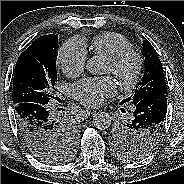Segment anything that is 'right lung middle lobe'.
<instances>
[{
    "instance_id": "right-lung-middle-lobe-1",
    "label": "right lung middle lobe",
    "mask_w": 184,
    "mask_h": 184,
    "mask_svg": "<svg viewBox=\"0 0 184 184\" xmlns=\"http://www.w3.org/2000/svg\"><path fill=\"white\" fill-rule=\"evenodd\" d=\"M57 35L49 34L44 43H32L22 52L16 62L12 85L14 106L23 102L48 104L51 89L57 81L56 59L58 55ZM75 148V131L67 125L60 131L53 146L33 151L46 163L65 162Z\"/></svg>"
}]
</instances>
